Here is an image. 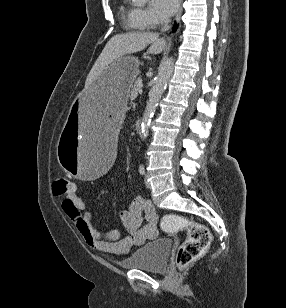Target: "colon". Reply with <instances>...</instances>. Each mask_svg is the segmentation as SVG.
Segmentation results:
<instances>
[{
    "label": "colon",
    "instance_id": "obj_1",
    "mask_svg": "<svg viewBox=\"0 0 286 308\" xmlns=\"http://www.w3.org/2000/svg\"><path fill=\"white\" fill-rule=\"evenodd\" d=\"M52 189L57 196L70 195L74 192V183L66 177H58L54 180ZM162 228L165 231H188V237L180 246L176 257L180 269L200 257L211 241V234L206 227L179 215L166 214L163 217Z\"/></svg>",
    "mask_w": 286,
    "mask_h": 308
}]
</instances>
